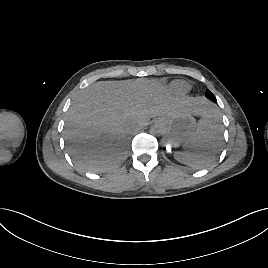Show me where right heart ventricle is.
Masks as SVG:
<instances>
[{
    "instance_id": "1",
    "label": "right heart ventricle",
    "mask_w": 268,
    "mask_h": 268,
    "mask_svg": "<svg viewBox=\"0 0 268 268\" xmlns=\"http://www.w3.org/2000/svg\"><path fill=\"white\" fill-rule=\"evenodd\" d=\"M173 88L178 92V93H186L190 89V85L185 82V81H175L173 83Z\"/></svg>"
}]
</instances>
